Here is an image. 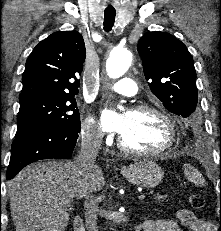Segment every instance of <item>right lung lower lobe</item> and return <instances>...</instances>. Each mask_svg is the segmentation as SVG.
<instances>
[{
    "instance_id": "98d812e1",
    "label": "right lung lower lobe",
    "mask_w": 221,
    "mask_h": 231,
    "mask_svg": "<svg viewBox=\"0 0 221 231\" xmlns=\"http://www.w3.org/2000/svg\"><path fill=\"white\" fill-rule=\"evenodd\" d=\"M77 138L76 131L48 124L25 128L16 134L12 143L7 179H12L22 168L32 162L71 157Z\"/></svg>"
}]
</instances>
